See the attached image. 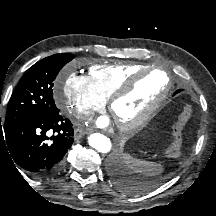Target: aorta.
<instances>
[{
    "label": "aorta",
    "instance_id": "obj_1",
    "mask_svg": "<svg viewBox=\"0 0 216 216\" xmlns=\"http://www.w3.org/2000/svg\"><path fill=\"white\" fill-rule=\"evenodd\" d=\"M88 142L91 147L100 153H108L112 149L110 139L103 134L93 133L88 137Z\"/></svg>",
    "mask_w": 216,
    "mask_h": 216
}]
</instances>
